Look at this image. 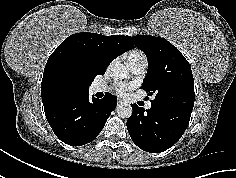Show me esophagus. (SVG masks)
I'll return each mask as SVG.
<instances>
[{"label": "esophagus", "instance_id": "1", "mask_svg": "<svg viewBox=\"0 0 236 178\" xmlns=\"http://www.w3.org/2000/svg\"><path fill=\"white\" fill-rule=\"evenodd\" d=\"M122 104H123V101L121 99H118L117 106L122 105Z\"/></svg>", "mask_w": 236, "mask_h": 178}]
</instances>
